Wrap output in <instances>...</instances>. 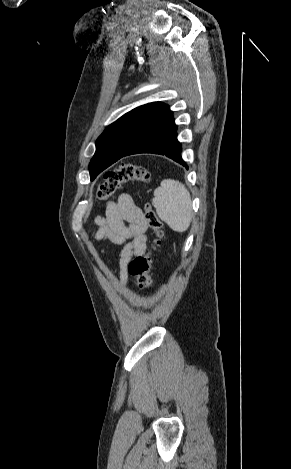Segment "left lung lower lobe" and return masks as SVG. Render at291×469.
I'll return each mask as SVG.
<instances>
[{
    "instance_id": "1",
    "label": "left lung lower lobe",
    "mask_w": 291,
    "mask_h": 469,
    "mask_svg": "<svg viewBox=\"0 0 291 469\" xmlns=\"http://www.w3.org/2000/svg\"><path fill=\"white\" fill-rule=\"evenodd\" d=\"M176 125L173 115L158 128L147 134L127 152L120 155L115 160L137 153H155L166 155L174 161L182 164L187 168L186 163L181 157V144L177 140ZM115 161V162H116Z\"/></svg>"
}]
</instances>
